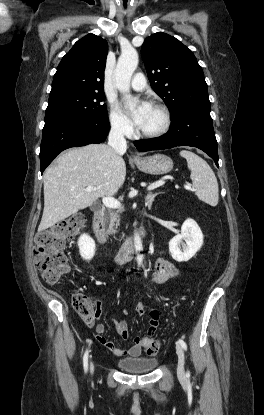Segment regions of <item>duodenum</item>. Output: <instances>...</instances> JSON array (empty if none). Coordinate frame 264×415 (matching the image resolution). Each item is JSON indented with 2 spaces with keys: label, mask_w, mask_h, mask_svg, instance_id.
Segmentation results:
<instances>
[{
  "label": "duodenum",
  "mask_w": 264,
  "mask_h": 415,
  "mask_svg": "<svg viewBox=\"0 0 264 415\" xmlns=\"http://www.w3.org/2000/svg\"><path fill=\"white\" fill-rule=\"evenodd\" d=\"M92 227L94 231L95 238L101 246H106L108 244L107 235L104 225V212L102 209H99L94 212L92 218ZM146 238V232L144 229L140 228L137 232L135 238L126 239L119 247L116 253V263L121 264L127 261L136 249L135 240L143 241Z\"/></svg>",
  "instance_id": "duodenum-1"
}]
</instances>
